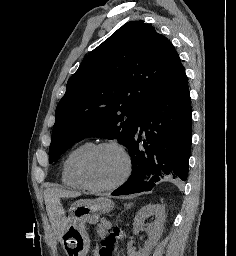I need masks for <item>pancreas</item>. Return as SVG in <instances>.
Segmentation results:
<instances>
[{"instance_id": "cf45deb5", "label": "pancreas", "mask_w": 236, "mask_h": 256, "mask_svg": "<svg viewBox=\"0 0 236 256\" xmlns=\"http://www.w3.org/2000/svg\"><path fill=\"white\" fill-rule=\"evenodd\" d=\"M108 230H110V226H105V224H98L97 234L99 238H105L106 234H108Z\"/></svg>"}]
</instances>
